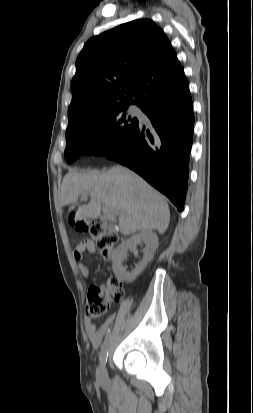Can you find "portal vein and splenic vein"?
<instances>
[{"instance_id": "1", "label": "portal vein and splenic vein", "mask_w": 253, "mask_h": 413, "mask_svg": "<svg viewBox=\"0 0 253 413\" xmlns=\"http://www.w3.org/2000/svg\"><path fill=\"white\" fill-rule=\"evenodd\" d=\"M86 197H87V194L83 195V198H86ZM103 213H104L105 216H107L109 218H113L117 214V212L114 209H112L108 206L103 207Z\"/></svg>"}]
</instances>
